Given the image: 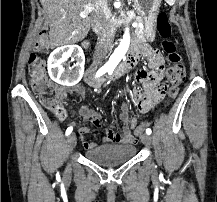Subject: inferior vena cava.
<instances>
[{"label":"inferior vena cava","instance_id":"1","mask_svg":"<svg viewBox=\"0 0 217 202\" xmlns=\"http://www.w3.org/2000/svg\"><path fill=\"white\" fill-rule=\"evenodd\" d=\"M107 8V0H94V16L93 24L96 28H101L98 34L97 44L95 46V56L98 58H104L109 52V48L112 44V32L102 28V18H106L105 10Z\"/></svg>","mask_w":217,"mask_h":202}]
</instances>
